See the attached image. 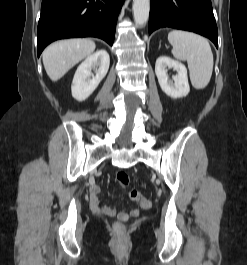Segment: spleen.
I'll return each mask as SVG.
<instances>
[{
  "mask_svg": "<svg viewBox=\"0 0 247 265\" xmlns=\"http://www.w3.org/2000/svg\"><path fill=\"white\" fill-rule=\"evenodd\" d=\"M173 56L187 61L190 80L195 89H204L213 71V54L209 42L195 33L173 30L168 34Z\"/></svg>",
  "mask_w": 247,
  "mask_h": 265,
  "instance_id": "3e777b00",
  "label": "spleen"
}]
</instances>
